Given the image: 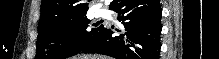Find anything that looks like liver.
Listing matches in <instances>:
<instances>
[{"label":"liver","mask_w":219,"mask_h":59,"mask_svg":"<svg viewBox=\"0 0 219 59\" xmlns=\"http://www.w3.org/2000/svg\"><path fill=\"white\" fill-rule=\"evenodd\" d=\"M73 59H110V58L100 55H82L78 57H73Z\"/></svg>","instance_id":"liver-1"}]
</instances>
